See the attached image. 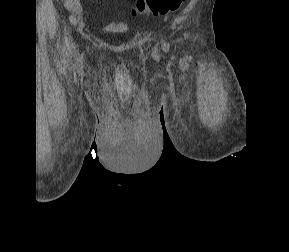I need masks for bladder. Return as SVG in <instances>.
Returning a JSON list of instances; mask_svg holds the SVG:
<instances>
[{
	"label": "bladder",
	"mask_w": 289,
	"mask_h": 252,
	"mask_svg": "<svg viewBox=\"0 0 289 252\" xmlns=\"http://www.w3.org/2000/svg\"><path fill=\"white\" fill-rule=\"evenodd\" d=\"M106 31L108 32H120L122 29L114 28L112 26L106 27Z\"/></svg>",
	"instance_id": "31cf9c89"
}]
</instances>
